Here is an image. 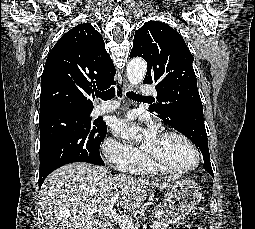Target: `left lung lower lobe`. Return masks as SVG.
Returning <instances> with one entry per match:
<instances>
[{
  "mask_svg": "<svg viewBox=\"0 0 255 229\" xmlns=\"http://www.w3.org/2000/svg\"><path fill=\"white\" fill-rule=\"evenodd\" d=\"M180 119L187 121L190 120L191 118H194L193 120V127L200 132H206L205 130V125H204V120H203V107L202 106H194L192 107L186 114L179 116ZM204 157V164L203 168L210 173L212 177L213 171L210 163V155H205Z\"/></svg>",
  "mask_w": 255,
  "mask_h": 229,
  "instance_id": "0a47b994",
  "label": "left lung lower lobe"
}]
</instances>
